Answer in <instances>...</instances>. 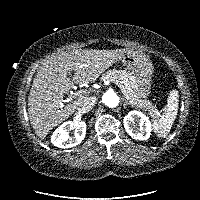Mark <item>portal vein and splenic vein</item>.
<instances>
[{"mask_svg": "<svg viewBox=\"0 0 200 200\" xmlns=\"http://www.w3.org/2000/svg\"><path fill=\"white\" fill-rule=\"evenodd\" d=\"M110 81H112V82H114L115 84H117L119 87H120V89L122 90V93L128 98V99H130L129 98V96H128V93H127V91L125 90V88H124V86L118 81V80H116V79H111ZM78 93H81V91H78L77 93H74V96H76V94H78ZM70 100H72V98H69ZM68 100H64V102H67Z\"/></svg>", "mask_w": 200, "mask_h": 200, "instance_id": "obj_1", "label": "portal vein and splenic vein"}]
</instances>
